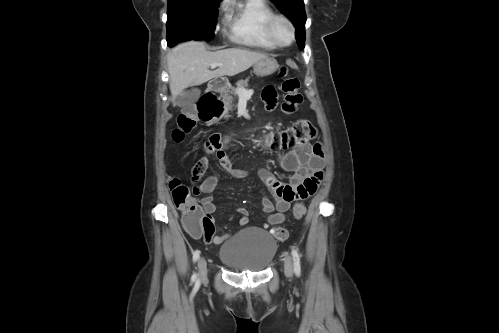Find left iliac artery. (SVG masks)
<instances>
[{
	"instance_id": "44dca946",
	"label": "left iliac artery",
	"mask_w": 499,
	"mask_h": 333,
	"mask_svg": "<svg viewBox=\"0 0 499 333\" xmlns=\"http://www.w3.org/2000/svg\"><path fill=\"white\" fill-rule=\"evenodd\" d=\"M292 257H293L295 274L297 276H299L301 273L300 256H299L298 251L296 249H292Z\"/></svg>"
}]
</instances>
